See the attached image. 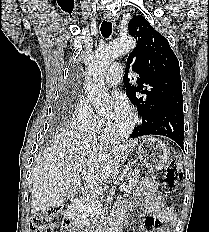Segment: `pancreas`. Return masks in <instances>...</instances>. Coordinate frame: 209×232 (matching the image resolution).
<instances>
[{"mask_svg":"<svg viewBox=\"0 0 209 232\" xmlns=\"http://www.w3.org/2000/svg\"><path fill=\"white\" fill-rule=\"evenodd\" d=\"M139 179V170L129 171L126 174L127 186L126 191H131ZM75 217L79 221H86L88 217L93 219L94 217H98L101 213V203L96 197H91L87 199L83 205L79 206L75 209Z\"/></svg>","mask_w":209,"mask_h":232,"instance_id":"1","label":"pancreas"}]
</instances>
